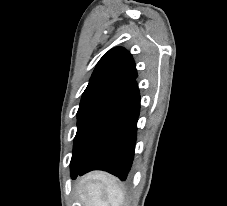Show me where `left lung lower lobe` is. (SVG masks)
I'll use <instances>...</instances> for the list:
<instances>
[{
    "instance_id": "left-lung-lower-lobe-1",
    "label": "left lung lower lobe",
    "mask_w": 227,
    "mask_h": 206,
    "mask_svg": "<svg viewBox=\"0 0 227 206\" xmlns=\"http://www.w3.org/2000/svg\"><path fill=\"white\" fill-rule=\"evenodd\" d=\"M139 111L140 95L135 78L103 112L87 154L71 168V178L100 169L125 180L134 157Z\"/></svg>"
}]
</instances>
